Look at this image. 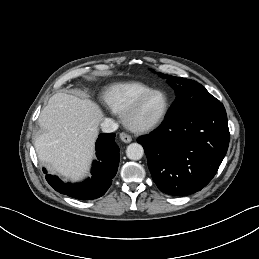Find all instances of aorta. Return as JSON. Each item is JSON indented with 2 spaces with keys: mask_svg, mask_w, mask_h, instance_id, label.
<instances>
[{
  "mask_svg": "<svg viewBox=\"0 0 259 259\" xmlns=\"http://www.w3.org/2000/svg\"><path fill=\"white\" fill-rule=\"evenodd\" d=\"M126 155L130 160H139L144 155V149L138 143H131L126 149Z\"/></svg>",
  "mask_w": 259,
  "mask_h": 259,
  "instance_id": "1",
  "label": "aorta"
}]
</instances>
